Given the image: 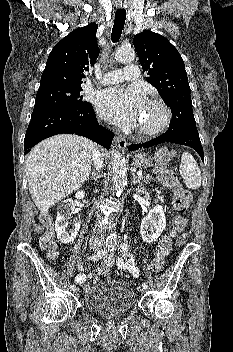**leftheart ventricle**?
<instances>
[{"label": "left heart ventricle", "instance_id": "b2bd125f", "mask_svg": "<svg viewBox=\"0 0 233 352\" xmlns=\"http://www.w3.org/2000/svg\"><path fill=\"white\" fill-rule=\"evenodd\" d=\"M161 118V109L156 104L145 101L137 126L138 128L153 127L160 122Z\"/></svg>", "mask_w": 233, "mask_h": 352}]
</instances>
